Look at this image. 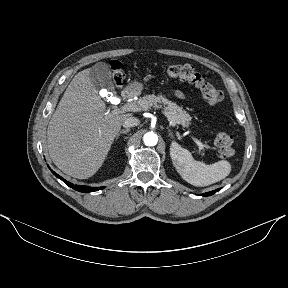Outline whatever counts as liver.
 Segmentation results:
<instances>
[{
	"instance_id": "6515ba94",
	"label": "liver",
	"mask_w": 288,
	"mask_h": 288,
	"mask_svg": "<svg viewBox=\"0 0 288 288\" xmlns=\"http://www.w3.org/2000/svg\"><path fill=\"white\" fill-rule=\"evenodd\" d=\"M89 72L85 69L74 76L47 128L52 161L78 179H87L98 171L123 122L131 116L106 113Z\"/></svg>"
}]
</instances>
